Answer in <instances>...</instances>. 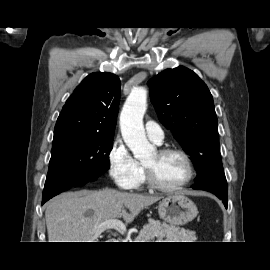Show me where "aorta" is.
I'll return each instance as SVG.
<instances>
[{
	"label": "aorta",
	"mask_w": 270,
	"mask_h": 270,
	"mask_svg": "<svg viewBox=\"0 0 270 270\" xmlns=\"http://www.w3.org/2000/svg\"><path fill=\"white\" fill-rule=\"evenodd\" d=\"M147 108V91L140 87L132 90L120 114V128L126 145L139 160L151 156L155 148L146 138L143 117Z\"/></svg>",
	"instance_id": "obj_1"
}]
</instances>
